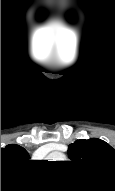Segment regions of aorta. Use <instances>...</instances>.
Masks as SVG:
<instances>
[{
    "mask_svg": "<svg viewBox=\"0 0 115 191\" xmlns=\"http://www.w3.org/2000/svg\"><path fill=\"white\" fill-rule=\"evenodd\" d=\"M52 158L54 160H62L65 158V156L62 153L56 152L52 155Z\"/></svg>",
    "mask_w": 115,
    "mask_h": 191,
    "instance_id": "762f6f07",
    "label": "aorta"
}]
</instances>
